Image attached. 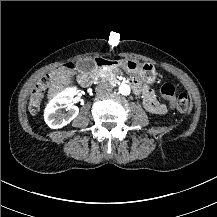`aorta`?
<instances>
[{
    "label": "aorta",
    "mask_w": 217,
    "mask_h": 217,
    "mask_svg": "<svg viewBox=\"0 0 217 217\" xmlns=\"http://www.w3.org/2000/svg\"><path fill=\"white\" fill-rule=\"evenodd\" d=\"M131 92V88L129 85L127 84H121L119 86V93L122 94V95H129Z\"/></svg>",
    "instance_id": "1"
}]
</instances>
